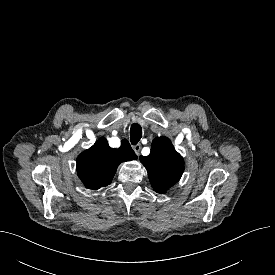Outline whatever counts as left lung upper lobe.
I'll list each match as a JSON object with an SVG mask.
<instances>
[{"label":"left lung upper lobe","mask_w":275,"mask_h":275,"mask_svg":"<svg viewBox=\"0 0 275 275\" xmlns=\"http://www.w3.org/2000/svg\"><path fill=\"white\" fill-rule=\"evenodd\" d=\"M140 161L147 169L153 189L161 194L176 184L184 171L183 158L166 137L155 138L150 154L140 156Z\"/></svg>","instance_id":"left-lung-upper-lobe-1"}]
</instances>
